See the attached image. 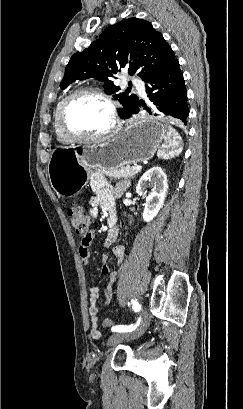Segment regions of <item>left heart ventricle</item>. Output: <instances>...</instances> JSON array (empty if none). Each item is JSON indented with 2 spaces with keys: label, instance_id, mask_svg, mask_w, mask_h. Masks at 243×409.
Returning <instances> with one entry per match:
<instances>
[{
  "label": "left heart ventricle",
  "instance_id": "left-heart-ventricle-1",
  "mask_svg": "<svg viewBox=\"0 0 243 409\" xmlns=\"http://www.w3.org/2000/svg\"><path fill=\"white\" fill-rule=\"evenodd\" d=\"M66 124L69 130L77 134L101 133L111 125L108 106L94 96H79L71 102L68 108Z\"/></svg>",
  "mask_w": 243,
  "mask_h": 409
}]
</instances>
